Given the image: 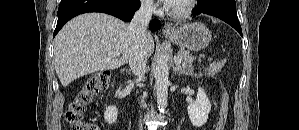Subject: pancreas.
Listing matches in <instances>:
<instances>
[{
	"mask_svg": "<svg viewBox=\"0 0 299 130\" xmlns=\"http://www.w3.org/2000/svg\"><path fill=\"white\" fill-rule=\"evenodd\" d=\"M178 55L182 57L180 68L184 72L191 73L193 71L192 63L195 60V57L186 50H179ZM199 62H201V56L199 57Z\"/></svg>",
	"mask_w": 299,
	"mask_h": 130,
	"instance_id": "pancreas-1",
	"label": "pancreas"
}]
</instances>
